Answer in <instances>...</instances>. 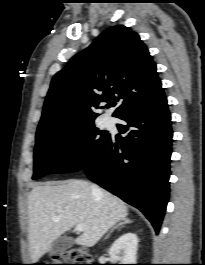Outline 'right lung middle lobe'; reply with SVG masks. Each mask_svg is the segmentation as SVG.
I'll use <instances>...</instances> for the list:
<instances>
[{
  "mask_svg": "<svg viewBox=\"0 0 205 265\" xmlns=\"http://www.w3.org/2000/svg\"><path fill=\"white\" fill-rule=\"evenodd\" d=\"M109 138V134L95 127L94 120L37 131L33 179L84 169Z\"/></svg>",
  "mask_w": 205,
  "mask_h": 265,
  "instance_id": "obj_1",
  "label": "right lung middle lobe"
}]
</instances>
